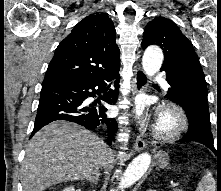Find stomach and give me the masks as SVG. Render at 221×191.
<instances>
[{
    "label": "stomach",
    "instance_id": "1",
    "mask_svg": "<svg viewBox=\"0 0 221 191\" xmlns=\"http://www.w3.org/2000/svg\"><path fill=\"white\" fill-rule=\"evenodd\" d=\"M169 164V156L167 153L160 151L155 157V165L158 168H165Z\"/></svg>",
    "mask_w": 221,
    "mask_h": 191
}]
</instances>
